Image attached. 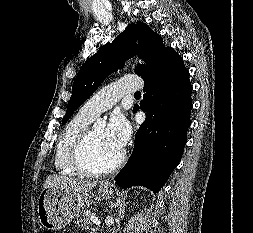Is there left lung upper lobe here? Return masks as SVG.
Masks as SVG:
<instances>
[{"label":"left lung upper lobe","mask_w":253,"mask_h":233,"mask_svg":"<svg viewBox=\"0 0 253 233\" xmlns=\"http://www.w3.org/2000/svg\"><path fill=\"white\" fill-rule=\"evenodd\" d=\"M166 48L161 36L152 32L147 24H128L122 33L102 46L80 68L62 125L93 94L105 77L120 68L125 60L135 55L143 59L147 66L137 65L134 69L136 74L143 76L152 69Z\"/></svg>","instance_id":"1"}]
</instances>
